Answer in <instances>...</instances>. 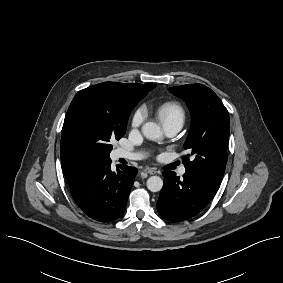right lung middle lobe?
I'll use <instances>...</instances> for the list:
<instances>
[{
    "label": "right lung middle lobe",
    "instance_id": "right-lung-middle-lobe-1",
    "mask_svg": "<svg viewBox=\"0 0 283 283\" xmlns=\"http://www.w3.org/2000/svg\"><path fill=\"white\" fill-rule=\"evenodd\" d=\"M142 98L99 84L83 89L69 106L61 135L90 159L108 158L111 141L124 136L130 113Z\"/></svg>",
    "mask_w": 283,
    "mask_h": 283
}]
</instances>
